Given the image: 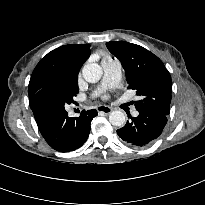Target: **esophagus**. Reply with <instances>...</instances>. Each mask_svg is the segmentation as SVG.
<instances>
[{"mask_svg":"<svg viewBox=\"0 0 205 205\" xmlns=\"http://www.w3.org/2000/svg\"><path fill=\"white\" fill-rule=\"evenodd\" d=\"M97 111L99 113L109 114L112 111V108L104 105H100L97 107Z\"/></svg>","mask_w":205,"mask_h":205,"instance_id":"1","label":"esophagus"}]
</instances>
